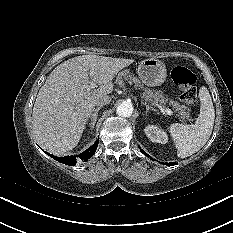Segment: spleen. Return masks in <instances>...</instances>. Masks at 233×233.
Segmentation results:
<instances>
[{"instance_id":"obj_1","label":"spleen","mask_w":233,"mask_h":233,"mask_svg":"<svg viewBox=\"0 0 233 233\" xmlns=\"http://www.w3.org/2000/svg\"><path fill=\"white\" fill-rule=\"evenodd\" d=\"M200 114L195 124L173 123L168 127L177 149V156L186 158L199 151L208 141L214 126L215 110L206 87L199 91Z\"/></svg>"}]
</instances>
